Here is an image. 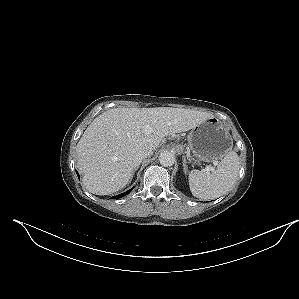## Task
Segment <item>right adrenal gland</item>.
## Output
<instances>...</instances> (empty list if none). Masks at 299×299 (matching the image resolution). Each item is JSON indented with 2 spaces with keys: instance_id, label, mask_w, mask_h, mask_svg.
Listing matches in <instances>:
<instances>
[{
  "instance_id": "obj_1",
  "label": "right adrenal gland",
  "mask_w": 299,
  "mask_h": 299,
  "mask_svg": "<svg viewBox=\"0 0 299 299\" xmlns=\"http://www.w3.org/2000/svg\"><path fill=\"white\" fill-rule=\"evenodd\" d=\"M138 168H139V165H138L137 167L134 168V170H133V174H132V177H131V180H132V178H133V175H134L135 171L138 170ZM131 180H130V181H131Z\"/></svg>"
}]
</instances>
